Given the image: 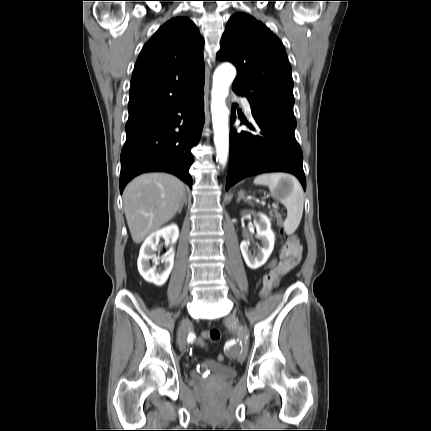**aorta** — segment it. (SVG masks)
<instances>
[{"label": "aorta", "mask_w": 431, "mask_h": 431, "mask_svg": "<svg viewBox=\"0 0 431 431\" xmlns=\"http://www.w3.org/2000/svg\"><path fill=\"white\" fill-rule=\"evenodd\" d=\"M236 76V69L229 63L217 67L213 76L211 112L214 129V143L217 151V160L226 164L229 151V110L226 106V97L229 87Z\"/></svg>", "instance_id": "762f6f07"}]
</instances>
